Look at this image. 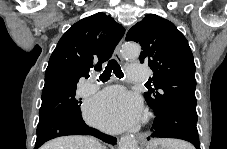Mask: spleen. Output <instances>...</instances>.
Listing matches in <instances>:
<instances>
[{
  "instance_id": "3e777b00",
  "label": "spleen",
  "mask_w": 227,
  "mask_h": 149,
  "mask_svg": "<svg viewBox=\"0 0 227 149\" xmlns=\"http://www.w3.org/2000/svg\"><path fill=\"white\" fill-rule=\"evenodd\" d=\"M158 146L161 149H192L188 143L172 139H154L149 143L150 149H156Z\"/></svg>"
}]
</instances>
